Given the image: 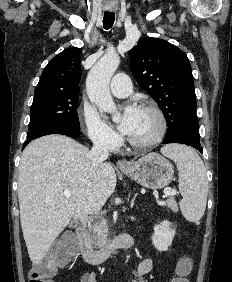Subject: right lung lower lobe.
<instances>
[{
    "mask_svg": "<svg viewBox=\"0 0 232 282\" xmlns=\"http://www.w3.org/2000/svg\"><path fill=\"white\" fill-rule=\"evenodd\" d=\"M49 134H62V135H67L72 138L78 137L80 135L79 130L65 126V125H57L53 126L47 129H44L41 132L35 133L31 136L28 137V140L24 143L22 150L25 148V146L30 142L31 140H34L38 137L44 136V135H49Z\"/></svg>",
    "mask_w": 232,
    "mask_h": 282,
    "instance_id": "right-lung-lower-lobe-1",
    "label": "right lung lower lobe"
}]
</instances>
